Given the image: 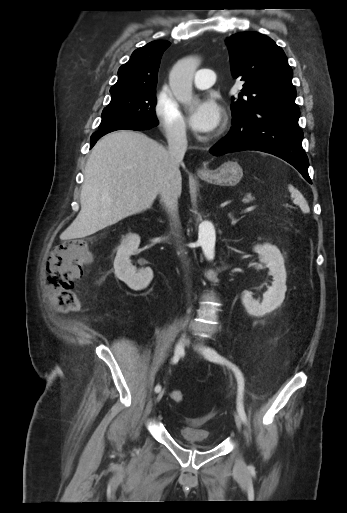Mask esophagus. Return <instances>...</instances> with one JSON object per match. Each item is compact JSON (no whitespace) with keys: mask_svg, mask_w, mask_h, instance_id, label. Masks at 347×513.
I'll return each mask as SVG.
<instances>
[{"mask_svg":"<svg viewBox=\"0 0 347 513\" xmlns=\"http://www.w3.org/2000/svg\"><path fill=\"white\" fill-rule=\"evenodd\" d=\"M207 172L206 168H200L197 170L198 175H205Z\"/></svg>","mask_w":347,"mask_h":513,"instance_id":"34e87169","label":"esophagus"}]
</instances>
